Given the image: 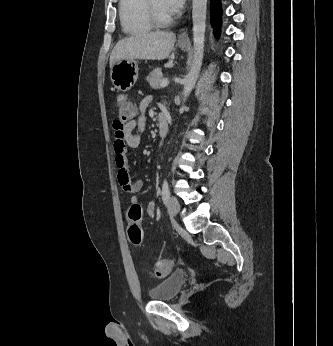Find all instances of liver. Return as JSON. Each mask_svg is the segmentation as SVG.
Here are the masks:
<instances>
[{
    "mask_svg": "<svg viewBox=\"0 0 333 346\" xmlns=\"http://www.w3.org/2000/svg\"><path fill=\"white\" fill-rule=\"evenodd\" d=\"M176 36L163 31L144 32L124 38L115 45L110 56V67L122 59L164 60L171 53Z\"/></svg>",
    "mask_w": 333,
    "mask_h": 346,
    "instance_id": "6515ba94",
    "label": "liver"
}]
</instances>
